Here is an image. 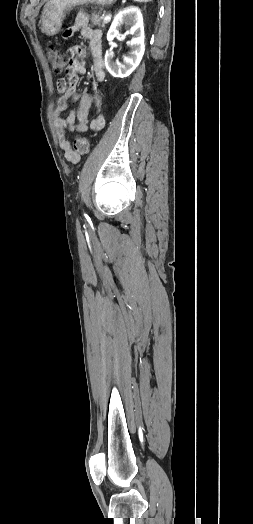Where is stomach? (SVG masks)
Wrapping results in <instances>:
<instances>
[{"mask_svg":"<svg viewBox=\"0 0 253 524\" xmlns=\"http://www.w3.org/2000/svg\"><path fill=\"white\" fill-rule=\"evenodd\" d=\"M115 1L116 0H49L41 14L39 22L41 30L48 36L55 35L60 31L66 14L72 8L89 3L108 5Z\"/></svg>","mask_w":253,"mask_h":524,"instance_id":"obj_1","label":"stomach"}]
</instances>
